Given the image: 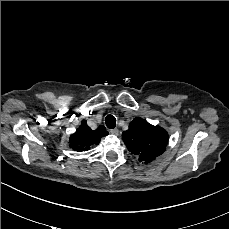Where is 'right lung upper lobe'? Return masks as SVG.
I'll return each mask as SVG.
<instances>
[{"instance_id": "obj_1", "label": "right lung upper lobe", "mask_w": 229, "mask_h": 229, "mask_svg": "<svg viewBox=\"0 0 229 229\" xmlns=\"http://www.w3.org/2000/svg\"><path fill=\"white\" fill-rule=\"evenodd\" d=\"M108 135L104 126L92 130L86 120L81 122L80 127L70 136L69 147L74 151L83 152L90 149V146L98 144L101 137Z\"/></svg>"}]
</instances>
